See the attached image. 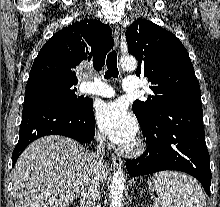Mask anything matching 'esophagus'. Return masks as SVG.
I'll use <instances>...</instances> for the list:
<instances>
[{"mask_svg":"<svg viewBox=\"0 0 220 207\" xmlns=\"http://www.w3.org/2000/svg\"><path fill=\"white\" fill-rule=\"evenodd\" d=\"M113 37H114L115 47L118 48L120 43V31L118 27L114 29ZM112 164L114 165V167H121L123 165V161L120 157L113 155Z\"/></svg>","mask_w":220,"mask_h":207,"instance_id":"obj_1","label":"esophagus"}]
</instances>
